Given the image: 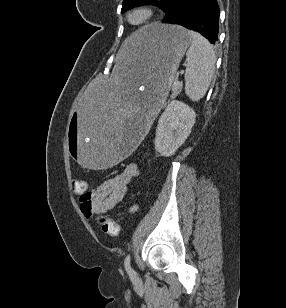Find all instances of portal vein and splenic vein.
Wrapping results in <instances>:
<instances>
[{
    "instance_id": "portal-vein-and-splenic-vein-1",
    "label": "portal vein and splenic vein",
    "mask_w": 286,
    "mask_h": 308,
    "mask_svg": "<svg viewBox=\"0 0 286 308\" xmlns=\"http://www.w3.org/2000/svg\"><path fill=\"white\" fill-rule=\"evenodd\" d=\"M181 73L183 74L184 72L183 71H181ZM178 85H181L180 83H178Z\"/></svg>"
}]
</instances>
